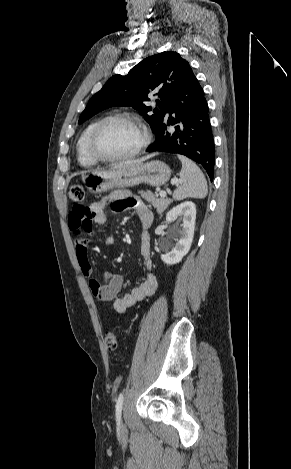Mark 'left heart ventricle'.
I'll return each instance as SVG.
<instances>
[{"label": "left heart ventricle", "mask_w": 291, "mask_h": 469, "mask_svg": "<svg viewBox=\"0 0 291 469\" xmlns=\"http://www.w3.org/2000/svg\"><path fill=\"white\" fill-rule=\"evenodd\" d=\"M142 140L143 134L137 127L124 121H116L102 130L98 148L105 156L118 157L134 151Z\"/></svg>", "instance_id": "left-heart-ventricle-1"}]
</instances>
